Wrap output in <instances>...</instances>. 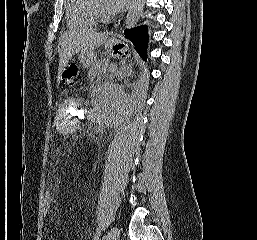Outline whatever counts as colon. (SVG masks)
I'll return each mask as SVG.
<instances>
[{
	"mask_svg": "<svg viewBox=\"0 0 257 240\" xmlns=\"http://www.w3.org/2000/svg\"><path fill=\"white\" fill-rule=\"evenodd\" d=\"M78 77V68L76 65L67 66L62 74V81L67 85H74ZM53 205V197L51 192L47 189L44 194L43 199V213L47 216L50 213L51 207Z\"/></svg>",
	"mask_w": 257,
	"mask_h": 240,
	"instance_id": "colon-1",
	"label": "colon"
}]
</instances>
